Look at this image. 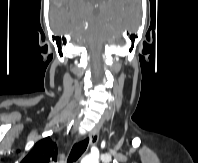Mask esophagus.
Listing matches in <instances>:
<instances>
[{"label":"esophagus","mask_w":198,"mask_h":163,"mask_svg":"<svg viewBox=\"0 0 198 163\" xmlns=\"http://www.w3.org/2000/svg\"><path fill=\"white\" fill-rule=\"evenodd\" d=\"M89 138H90V145H95L98 140H99V128L96 127L94 128L90 133H89Z\"/></svg>","instance_id":"1"}]
</instances>
